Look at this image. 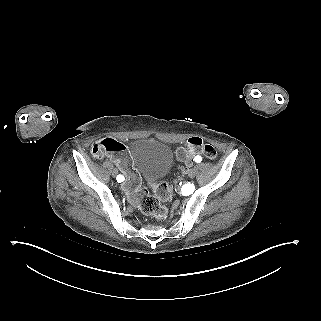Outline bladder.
I'll list each match as a JSON object with an SVG mask.
<instances>
[{"label":"bladder","instance_id":"1","mask_svg":"<svg viewBox=\"0 0 321 321\" xmlns=\"http://www.w3.org/2000/svg\"><path fill=\"white\" fill-rule=\"evenodd\" d=\"M130 157L136 171L149 182H158L172 165V152L165 143L141 138L130 145Z\"/></svg>","mask_w":321,"mask_h":321}]
</instances>
